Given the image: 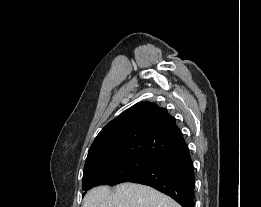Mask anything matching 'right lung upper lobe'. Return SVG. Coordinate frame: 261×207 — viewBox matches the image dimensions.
Here are the masks:
<instances>
[{
	"label": "right lung upper lobe",
	"mask_w": 261,
	"mask_h": 207,
	"mask_svg": "<svg viewBox=\"0 0 261 207\" xmlns=\"http://www.w3.org/2000/svg\"><path fill=\"white\" fill-rule=\"evenodd\" d=\"M187 148L175 118L151 102H139L110 121L92 143L85 166L128 156L160 160Z\"/></svg>",
	"instance_id": "1"
}]
</instances>
